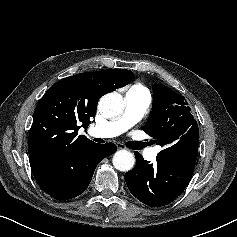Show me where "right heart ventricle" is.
Segmentation results:
<instances>
[{"label":"right heart ventricle","instance_id":"obj_1","mask_svg":"<svg viewBox=\"0 0 237 237\" xmlns=\"http://www.w3.org/2000/svg\"><path fill=\"white\" fill-rule=\"evenodd\" d=\"M130 90H134V91H137V92H141V93H147V89L144 85H141V84H135L131 87Z\"/></svg>","mask_w":237,"mask_h":237}]
</instances>
